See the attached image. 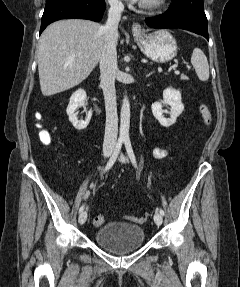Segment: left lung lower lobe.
<instances>
[{"label":"left lung lower lobe","instance_id":"0a47b994","mask_svg":"<svg viewBox=\"0 0 240 287\" xmlns=\"http://www.w3.org/2000/svg\"><path fill=\"white\" fill-rule=\"evenodd\" d=\"M146 24L152 28L185 29L209 40L203 0H173L164 14L147 18Z\"/></svg>","mask_w":240,"mask_h":287}]
</instances>
